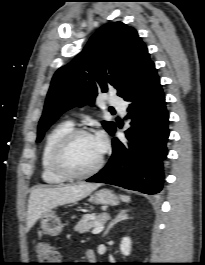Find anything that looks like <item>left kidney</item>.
Returning <instances> with one entry per match:
<instances>
[{"label": "left kidney", "instance_id": "5707ae66", "mask_svg": "<svg viewBox=\"0 0 205 265\" xmlns=\"http://www.w3.org/2000/svg\"><path fill=\"white\" fill-rule=\"evenodd\" d=\"M131 239L129 237H124L120 244L121 253L125 256H128L131 252Z\"/></svg>", "mask_w": 205, "mask_h": 265}]
</instances>
